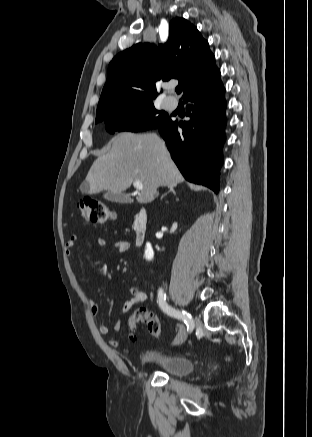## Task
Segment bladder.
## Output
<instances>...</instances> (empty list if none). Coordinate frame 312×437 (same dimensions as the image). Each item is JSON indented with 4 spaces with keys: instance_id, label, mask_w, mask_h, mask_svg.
Wrapping results in <instances>:
<instances>
[{
    "instance_id": "bladder-1",
    "label": "bladder",
    "mask_w": 312,
    "mask_h": 437,
    "mask_svg": "<svg viewBox=\"0 0 312 437\" xmlns=\"http://www.w3.org/2000/svg\"><path fill=\"white\" fill-rule=\"evenodd\" d=\"M142 364L154 367L173 377H184L193 372L194 361L182 355L162 354L156 350H148L141 357Z\"/></svg>"
}]
</instances>
